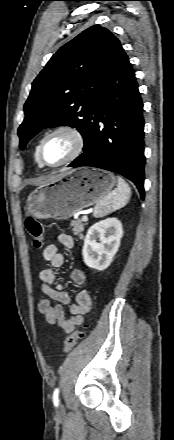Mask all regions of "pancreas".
<instances>
[{
    "label": "pancreas",
    "mask_w": 174,
    "mask_h": 440,
    "mask_svg": "<svg viewBox=\"0 0 174 440\" xmlns=\"http://www.w3.org/2000/svg\"><path fill=\"white\" fill-rule=\"evenodd\" d=\"M86 224L81 220H72L70 223V227H72V232L74 235L78 236L80 239L83 238L82 232L84 231V226Z\"/></svg>",
    "instance_id": "obj_1"
}]
</instances>
